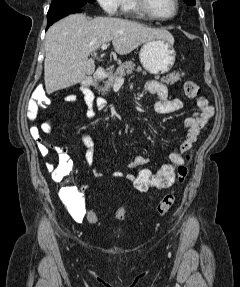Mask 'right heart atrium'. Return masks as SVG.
<instances>
[{
    "instance_id": "d8ad5b80",
    "label": "right heart atrium",
    "mask_w": 240,
    "mask_h": 287,
    "mask_svg": "<svg viewBox=\"0 0 240 287\" xmlns=\"http://www.w3.org/2000/svg\"><path fill=\"white\" fill-rule=\"evenodd\" d=\"M97 2L108 15L114 16L119 13L121 0H97Z\"/></svg>"
}]
</instances>
